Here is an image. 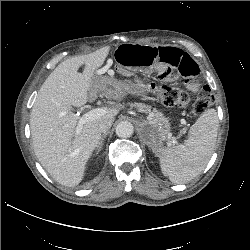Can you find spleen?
Here are the masks:
<instances>
[{"label": "spleen", "instance_id": "1", "mask_svg": "<svg viewBox=\"0 0 250 250\" xmlns=\"http://www.w3.org/2000/svg\"><path fill=\"white\" fill-rule=\"evenodd\" d=\"M218 124L216 110L209 109L191 126L183 144L160 149L158 157L163 175L177 184L187 183L199 175L214 151Z\"/></svg>", "mask_w": 250, "mask_h": 250}]
</instances>
